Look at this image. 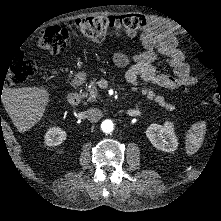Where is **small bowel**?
<instances>
[{
  "label": "small bowel",
  "instance_id": "1",
  "mask_svg": "<svg viewBox=\"0 0 221 221\" xmlns=\"http://www.w3.org/2000/svg\"><path fill=\"white\" fill-rule=\"evenodd\" d=\"M147 22L148 25L140 35V41L144 47L143 52L132 56L115 52L112 56L116 66L130 65L125 74L126 80L134 86L143 81L167 89L196 84L199 77L191 73L190 65L185 62V55L178 48V40L171 26L155 18H148ZM158 54L173 68L174 76L156 72L153 63Z\"/></svg>",
  "mask_w": 221,
  "mask_h": 221
}]
</instances>
